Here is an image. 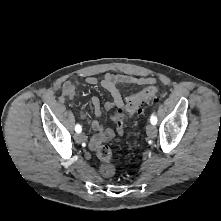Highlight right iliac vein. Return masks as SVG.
Masks as SVG:
<instances>
[{
	"instance_id": "right-iliac-vein-1",
	"label": "right iliac vein",
	"mask_w": 221,
	"mask_h": 221,
	"mask_svg": "<svg viewBox=\"0 0 221 221\" xmlns=\"http://www.w3.org/2000/svg\"><path fill=\"white\" fill-rule=\"evenodd\" d=\"M75 140L78 142V143H82L86 140V136L84 133H79L75 136Z\"/></svg>"
}]
</instances>
